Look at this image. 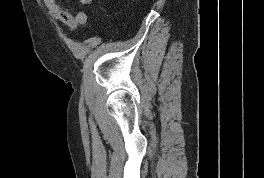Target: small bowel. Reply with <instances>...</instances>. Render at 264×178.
Here are the masks:
<instances>
[{
  "mask_svg": "<svg viewBox=\"0 0 264 178\" xmlns=\"http://www.w3.org/2000/svg\"><path fill=\"white\" fill-rule=\"evenodd\" d=\"M47 7L50 15L58 21H61L69 29L74 30L79 25H85L87 22V14L79 11L73 14L63 6L64 0H42Z\"/></svg>",
  "mask_w": 264,
  "mask_h": 178,
  "instance_id": "c3829d8e",
  "label": "small bowel"
}]
</instances>
